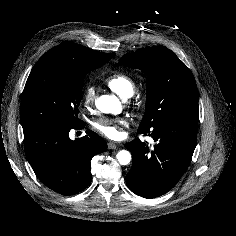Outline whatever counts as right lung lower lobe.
I'll list each match as a JSON object with an SVG mask.
<instances>
[{
    "instance_id": "98d812e1",
    "label": "right lung lower lobe",
    "mask_w": 236,
    "mask_h": 236,
    "mask_svg": "<svg viewBox=\"0 0 236 236\" xmlns=\"http://www.w3.org/2000/svg\"><path fill=\"white\" fill-rule=\"evenodd\" d=\"M72 127L56 123H39L23 128L24 147L30 165L40 181L53 191L70 196L91 182V159L106 151L107 144L88 130L82 138L71 140Z\"/></svg>"
}]
</instances>
